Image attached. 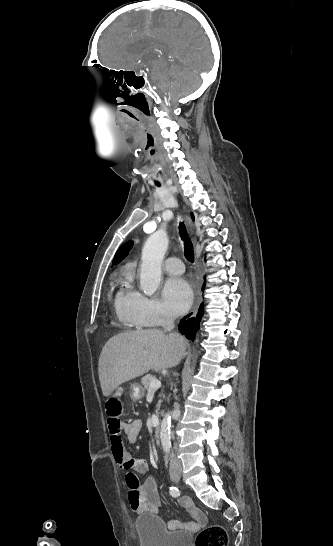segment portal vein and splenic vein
I'll return each mask as SVG.
<instances>
[{"label":"portal vein and splenic vein","instance_id":"obj_1","mask_svg":"<svg viewBox=\"0 0 333 546\" xmlns=\"http://www.w3.org/2000/svg\"><path fill=\"white\" fill-rule=\"evenodd\" d=\"M160 387H161V382L158 379H154L150 383L149 390H157Z\"/></svg>","mask_w":333,"mask_h":546}]
</instances>
